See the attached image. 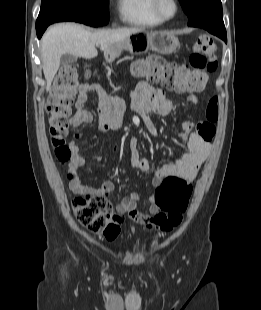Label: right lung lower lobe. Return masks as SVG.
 I'll use <instances>...</instances> for the list:
<instances>
[{
  "instance_id": "1",
  "label": "right lung lower lobe",
  "mask_w": 261,
  "mask_h": 310,
  "mask_svg": "<svg viewBox=\"0 0 261 310\" xmlns=\"http://www.w3.org/2000/svg\"><path fill=\"white\" fill-rule=\"evenodd\" d=\"M47 27L48 26H42V27L36 28V33H37L38 38H41V36L43 35Z\"/></svg>"
}]
</instances>
